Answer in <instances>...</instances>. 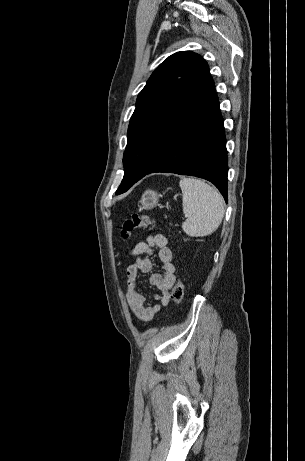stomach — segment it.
<instances>
[{"label": "stomach", "instance_id": "stomach-1", "mask_svg": "<svg viewBox=\"0 0 305 461\" xmlns=\"http://www.w3.org/2000/svg\"><path fill=\"white\" fill-rule=\"evenodd\" d=\"M159 195L153 190L144 192L141 198V205L144 209H152L158 205Z\"/></svg>", "mask_w": 305, "mask_h": 461}]
</instances>
